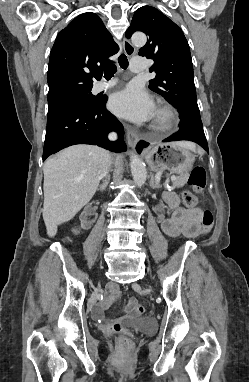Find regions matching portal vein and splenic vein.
<instances>
[{
	"label": "portal vein and splenic vein",
	"mask_w": 249,
	"mask_h": 382,
	"mask_svg": "<svg viewBox=\"0 0 249 382\" xmlns=\"http://www.w3.org/2000/svg\"><path fill=\"white\" fill-rule=\"evenodd\" d=\"M175 179H176V177H175V176H172V177H171V180H172V181H174Z\"/></svg>",
	"instance_id": "portal-vein-and-splenic-vein-1"
}]
</instances>
